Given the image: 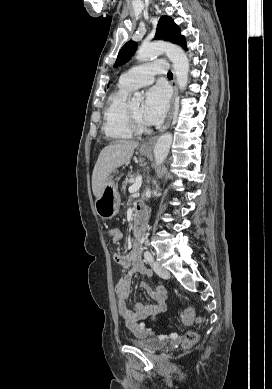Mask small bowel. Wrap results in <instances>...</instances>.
Listing matches in <instances>:
<instances>
[{
	"instance_id": "1",
	"label": "small bowel",
	"mask_w": 272,
	"mask_h": 389,
	"mask_svg": "<svg viewBox=\"0 0 272 389\" xmlns=\"http://www.w3.org/2000/svg\"><path fill=\"white\" fill-rule=\"evenodd\" d=\"M142 210L139 206L136 211ZM114 261L123 268L131 267V271L120 278L115 285V293L121 318L125 327L137 337H145L151 333V329L142 322L149 317L155 318L166 309L167 290L161 283L151 286L143 282L141 286L147 291L154 301V304L137 302L133 308L127 306V299L130 294L131 279L134 273L146 278H151L153 273L147 269L141 257V247L135 243L133 249L126 255L115 254Z\"/></svg>"
}]
</instances>
